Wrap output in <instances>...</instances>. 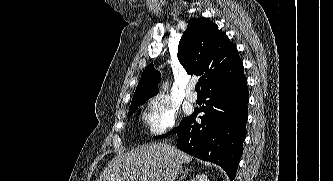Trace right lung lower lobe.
<instances>
[{"label": "right lung lower lobe", "instance_id": "98d812e1", "mask_svg": "<svg viewBox=\"0 0 333 181\" xmlns=\"http://www.w3.org/2000/svg\"><path fill=\"white\" fill-rule=\"evenodd\" d=\"M205 114L195 118L198 111L182 119L173 133H177V146L190 155L221 166L233 180L242 156L246 136L249 101L244 74L203 91Z\"/></svg>", "mask_w": 333, "mask_h": 181}]
</instances>
